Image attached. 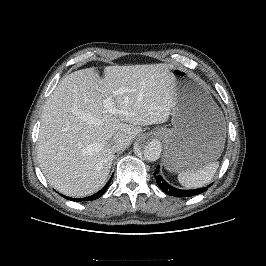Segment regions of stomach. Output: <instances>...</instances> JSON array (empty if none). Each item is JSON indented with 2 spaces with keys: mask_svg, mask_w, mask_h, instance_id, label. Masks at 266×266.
<instances>
[{
  "mask_svg": "<svg viewBox=\"0 0 266 266\" xmlns=\"http://www.w3.org/2000/svg\"><path fill=\"white\" fill-rule=\"evenodd\" d=\"M170 71L175 83L173 127L156 130L166 145L164 165L175 173L198 170L220 157L225 118L199 78L177 66Z\"/></svg>",
  "mask_w": 266,
  "mask_h": 266,
  "instance_id": "obj_1",
  "label": "stomach"
}]
</instances>
